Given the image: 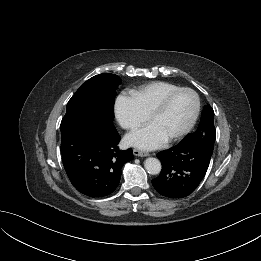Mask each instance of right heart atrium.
I'll list each match as a JSON object with an SVG mask.
<instances>
[{
	"label": "right heart atrium",
	"mask_w": 261,
	"mask_h": 261,
	"mask_svg": "<svg viewBox=\"0 0 261 261\" xmlns=\"http://www.w3.org/2000/svg\"><path fill=\"white\" fill-rule=\"evenodd\" d=\"M114 112L116 120L126 130H135L148 119L132 93L117 98Z\"/></svg>",
	"instance_id": "right-heart-atrium-1"
}]
</instances>
